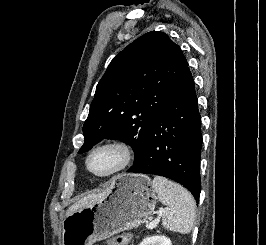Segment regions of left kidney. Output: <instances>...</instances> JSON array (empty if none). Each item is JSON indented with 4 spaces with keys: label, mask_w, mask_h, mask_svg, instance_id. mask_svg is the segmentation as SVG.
Returning <instances> with one entry per match:
<instances>
[{
    "label": "left kidney",
    "mask_w": 266,
    "mask_h": 245,
    "mask_svg": "<svg viewBox=\"0 0 266 245\" xmlns=\"http://www.w3.org/2000/svg\"><path fill=\"white\" fill-rule=\"evenodd\" d=\"M140 245H172L170 239L168 237H164V235H149V237H145L143 241H141Z\"/></svg>",
    "instance_id": "obj_1"
}]
</instances>
